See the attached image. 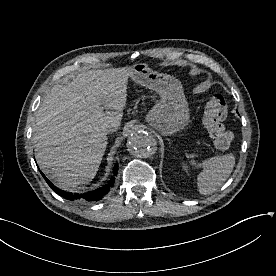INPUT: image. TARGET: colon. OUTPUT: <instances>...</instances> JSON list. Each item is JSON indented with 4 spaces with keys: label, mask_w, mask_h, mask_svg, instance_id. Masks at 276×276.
Here are the masks:
<instances>
[{
    "label": "colon",
    "mask_w": 276,
    "mask_h": 276,
    "mask_svg": "<svg viewBox=\"0 0 276 276\" xmlns=\"http://www.w3.org/2000/svg\"><path fill=\"white\" fill-rule=\"evenodd\" d=\"M228 114V104L225 98L216 94L206 103L202 122L207 129L214 145L225 150L229 148L233 140V134L223 124Z\"/></svg>",
    "instance_id": "obj_1"
}]
</instances>
